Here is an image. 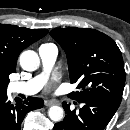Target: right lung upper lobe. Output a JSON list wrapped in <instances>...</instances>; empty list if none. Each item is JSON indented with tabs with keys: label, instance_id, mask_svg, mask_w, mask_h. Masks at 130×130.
Segmentation results:
<instances>
[{
	"label": "right lung upper lobe",
	"instance_id": "1",
	"mask_svg": "<svg viewBox=\"0 0 130 130\" xmlns=\"http://www.w3.org/2000/svg\"><path fill=\"white\" fill-rule=\"evenodd\" d=\"M47 33L46 29L0 24V92L6 91L9 75L16 70L19 54Z\"/></svg>",
	"mask_w": 130,
	"mask_h": 130
}]
</instances>
